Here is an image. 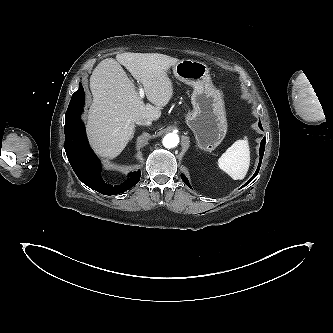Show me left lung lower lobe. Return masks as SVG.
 Returning <instances> with one entry per match:
<instances>
[{"label": "left lung lower lobe", "mask_w": 333, "mask_h": 333, "mask_svg": "<svg viewBox=\"0 0 333 333\" xmlns=\"http://www.w3.org/2000/svg\"><path fill=\"white\" fill-rule=\"evenodd\" d=\"M259 127L262 129L261 123H259ZM264 149H265V138H263V140L261 141V145H260V160H259L258 168H257L255 174L253 175V177L245 185H247L250 181H252L256 177V175L258 174V171H259V168H260V165H261V161H262V158H263V154H264ZM181 178L184 181V183H186V185L191 187L189 182H188V179L183 174L181 175Z\"/></svg>", "instance_id": "obj_1"}]
</instances>
